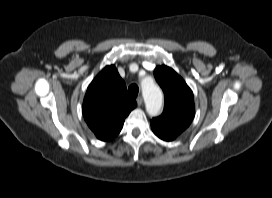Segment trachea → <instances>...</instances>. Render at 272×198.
I'll return each mask as SVG.
<instances>
[{
	"label": "trachea",
	"mask_w": 272,
	"mask_h": 198,
	"mask_svg": "<svg viewBox=\"0 0 272 198\" xmlns=\"http://www.w3.org/2000/svg\"><path fill=\"white\" fill-rule=\"evenodd\" d=\"M138 92H139V88L136 84H132L129 86L128 88V94L132 97V98H136L138 96Z\"/></svg>",
	"instance_id": "obj_1"
}]
</instances>
